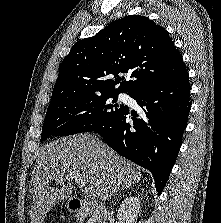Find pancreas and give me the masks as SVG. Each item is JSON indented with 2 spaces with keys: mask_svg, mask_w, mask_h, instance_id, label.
Instances as JSON below:
<instances>
[{
  "mask_svg": "<svg viewBox=\"0 0 221 223\" xmlns=\"http://www.w3.org/2000/svg\"><path fill=\"white\" fill-rule=\"evenodd\" d=\"M87 223H95L94 218H91Z\"/></svg>",
  "mask_w": 221,
  "mask_h": 223,
  "instance_id": "1",
  "label": "pancreas"
}]
</instances>
